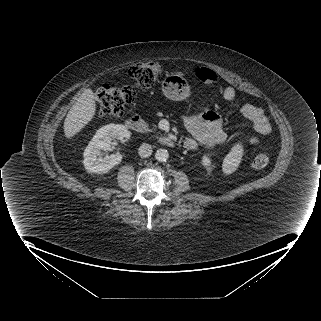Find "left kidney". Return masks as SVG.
<instances>
[{"label": "left kidney", "mask_w": 321, "mask_h": 321, "mask_svg": "<svg viewBox=\"0 0 321 321\" xmlns=\"http://www.w3.org/2000/svg\"><path fill=\"white\" fill-rule=\"evenodd\" d=\"M202 165H204L206 167H210L211 166V160L207 155H204L202 157Z\"/></svg>", "instance_id": "1"}]
</instances>
